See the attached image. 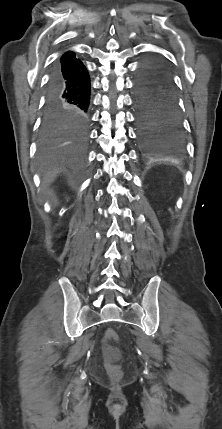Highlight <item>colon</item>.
<instances>
[{"label": "colon", "mask_w": 222, "mask_h": 429, "mask_svg": "<svg viewBox=\"0 0 222 429\" xmlns=\"http://www.w3.org/2000/svg\"><path fill=\"white\" fill-rule=\"evenodd\" d=\"M117 340V335L113 330H107L104 335V342L107 345L108 355L113 356L116 354V349L112 346V344ZM107 373L109 377L118 381L122 378L123 372L120 366L112 361L107 362Z\"/></svg>", "instance_id": "1"}]
</instances>
